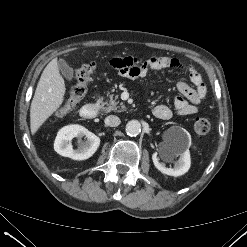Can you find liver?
I'll return each mask as SVG.
<instances>
[{"label": "liver", "instance_id": "liver-1", "mask_svg": "<svg viewBox=\"0 0 247 247\" xmlns=\"http://www.w3.org/2000/svg\"><path fill=\"white\" fill-rule=\"evenodd\" d=\"M65 82L59 72L57 59L43 70L30 107V129L34 135L41 125L64 101Z\"/></svg>", "mask_w": 247, "mask_h": 247}]
</instances>
